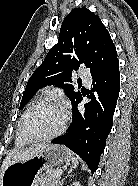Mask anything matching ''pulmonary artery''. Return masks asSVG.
Segmentation results:
<instances>
[{"instance_id":"e3ab8cb5","label":"pulmonary artery","mask_w":138,"mask_h":186,"mask_svg":"<svg viewBox=\"0 0 138 186\" xmlns=\"http://www.w3.org/2000/svg\"><path fill=\"white\" fill-rule=\"evenodd\" d=\"M78 75L83 80L84 83L86 84L91 83V75L88 70L80 68L78 71Z\"/></svg>"}]
</instances>
